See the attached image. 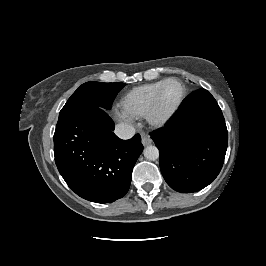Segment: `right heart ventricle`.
Listing matches in <instances>:
<instances>
[{
  "label": "right heart ventricle",
  "mask_w": 266,
  "mask_h": 266,
  "mask_svg": "<svg viewBox=\"0 0 266 266\" xmlns=\"http://www.w3.org/2000/svg\"><path fill=\"white\" fill-rule=\"evenodd\" d=\"M164 81L144 84L130 90L122 99L123 109L132 116H145L155 92Z\"/></svg>",
  "instance_id": "1"
}]
</instances>
